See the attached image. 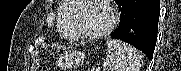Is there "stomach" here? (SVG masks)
<instances>
[{
  "label": "stomach",
  "instance_id": "0dacf381",
  "mask_svg": "<svg viewBox=\"0 0 181 71\" xmlns=\"http://www.w3.org/2000/svg\"><path fill=\"white\" fill-rule=\"evenodd\" d=\"M84 60V54L78 51H69L60 56L58 65L63 69L78 66Z\"/></svg>",
  "mask_w": 181,
  "mask_h": 71
}]
</instances>
